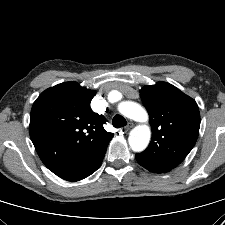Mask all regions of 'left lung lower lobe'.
<instances>
[{
	"label": "left lung lower lobe",
	"mask_w": 225,
	"mask_h": 225,
	"mask_svg": "<svg viewBox=\"0 0 225 225\" xmlns=\"http://www.w3.org/2000/svg\"><path fill=\"white\" fill-rule=\"evenodd\" d=\"M136 160L138 161V163L143 166L144 168H146L147 170L151 171V172H155V173H166L169 172L171 169L165 166H162L142 155H140L139 153H137L135 155Z\"/></svg>",
	"instance_id": "left-lung-lower-lobe-1"
}]
</instances>
